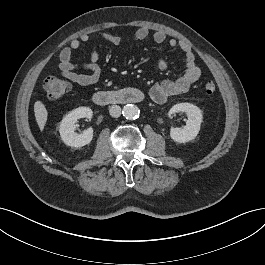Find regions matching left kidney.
<instances>
[{"label":"left kidney","instance_id":"obj_1","mask_svg":"<svg viewBox=\"0 0 265 265\" xmlns=\"http://www.w3.org/2000/svg\"><path fill=\"white\" fill-rule=\"evenodd\" d=\"M184 112L188 116L186 126L183 128H171L170 137L177 143H186L196 138L203 121L201 110L191 103H179L174 105L169 115Z\"/></svg>","mask_w":265,"mask_h":265}]
</instances>
